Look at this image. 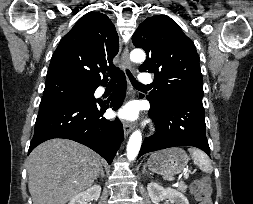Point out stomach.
Segmentation results:
<instances>
[{
    "instance_id": "obj_1",
    "label": "stomach",
    "mask_w": 253,
    "mask_h": 204,
    "mask_svg": "<svg viewBox=\"0 0 253 204\" xmlns=\"http://www.w3.org/2000/svg\"><path fill=\"white\" fill-rule=\"evenodd\" d=\"M189 157L187 153L178 147L152 153L148 159L147 166L150 171L173 177L187 166Z\"/></svg>"
}]
</instances>
